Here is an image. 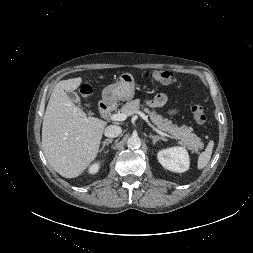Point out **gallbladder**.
<instances>
[{
    "label": "gallbladder",
    "mask_w": 253,
    "mask_h": 253,
    "mask_svg": "<svg viewBox=\"0 0 253 253\" xmlns=\"http://www.w3.org/2000/svg\"><path fill=\"white\" fill-rule=\"evenodd\" d=\"M67 95H68V97H69L72 101H74V102H76V103H80V99H79V96L77 95V93L71 91V92H67Z\"/></svg>",
    "instance_id": "bac80fb5"
}]
</instances>
